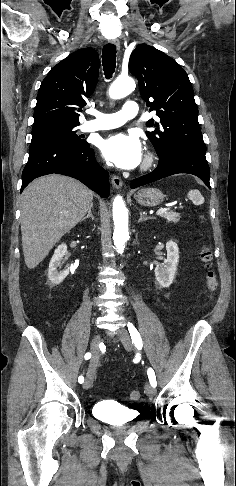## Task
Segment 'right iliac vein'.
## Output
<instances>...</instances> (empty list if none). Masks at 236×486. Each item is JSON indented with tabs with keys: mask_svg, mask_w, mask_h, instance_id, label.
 I'll use <instances>...</instances> for the list:
<instances>
[{
	"mask_svg": "<svg viewBox=\"0 0 236 486\" xmlns=\"http://www.w3.org/2000/svg\"><path fill=\"white\" fill-rule=\"evenodd\" d=\"M101 341V336L99 333L95 334L90 343V349L92 352V359L90 362V367L88 369L86 379L84 382V389H89L92 387L95 375V367L98 360V353H99V343Z\"/></svg>",
	"mask_w": 236,
	"mask_h": 486,
	"instance_id": "right-iliac-vein-1",
	"label": "right iliac vein"
}]
</instances>
